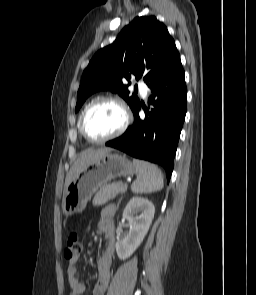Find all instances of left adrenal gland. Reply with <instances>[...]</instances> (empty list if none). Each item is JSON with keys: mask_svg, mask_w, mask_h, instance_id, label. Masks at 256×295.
Masks as SVG:
<instances>
[{"mask_svg": "<svg viewBox=\"0 0 256 295\" xmlns=\"http://www.w3.org/2000/svg\"><path fill=\"white\" fill-rule=\"evenodd\" d=\"M121 200H122V198L119 200V202H118V205H117V206H119V204H120Z\"/></svg>", "mask_w": 256, "mask_h": 295, "instance_id": "left-adrenal-gland-1", "label": "left adrenal gland"}]
</instances>
